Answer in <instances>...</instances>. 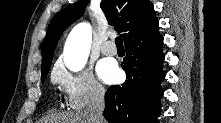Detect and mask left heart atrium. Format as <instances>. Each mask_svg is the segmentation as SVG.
Segmentation results:
<instances>
[{
    "label": "left heart atrium",
    "mask_w": 221,
    "mask_h": 123,
    "mask_svg": "<svg viewBox=\"0 0 221 123\" xmlns=\"http://www.w3.org/2000/svg\"><path fill=\"white\" fill-rule=\"evenodd\" d=\"M97 73L105 83H114L120 78V71L111 60H102L97 66Z\"/></svg>",
    "instance_id": "39dd6f15"
}]
</instances>
